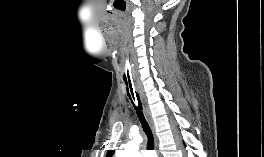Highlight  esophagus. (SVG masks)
I'll list each match as a JSON object with an SVG mask.
<instances>
[{
	"instance_id": "obj_1",
	"label": "esophagus",
	"mask_w": 264,
	"mask_h": 157,
	"mask_svg": "<svg viewBox=\"0 0 264 157\" xmlns=\"http://www.w3.org/2000/svg\"><path fill=\"white\" fill-rule=\"evenodd\" d=\"M142 105H143L144 113H145V115H146V117L150 123L151 129H152V132L154 135V148L157 152H159V150H158V138H157V135L155 133L154 122H153L149 107H148L147 102H146L144 97H142Z\"/></svg>"
}]
</instances>
